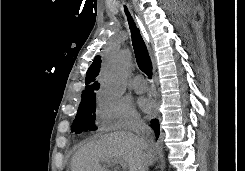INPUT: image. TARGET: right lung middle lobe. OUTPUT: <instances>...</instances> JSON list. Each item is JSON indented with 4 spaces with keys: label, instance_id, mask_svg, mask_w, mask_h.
Segmentation results:
<instances>
[{
    "label": "right lung middle lobe",
    "instance_id": "dd1d6c3e",
    "mask_svg": "<svg viewBox=\"0 0 245 171\" xmlns=\"http://www.w3.org/2000/svg\"><path fill=\"white\" fill-rule=\"evenodd\" d=\"M95 95L83 98L77 111V115L72 125V132L81 133L83 131L96 130L95 127Z\"/></svg>",
    "mask_w": 245,
    "mask_h": 171
}]
</instances>
